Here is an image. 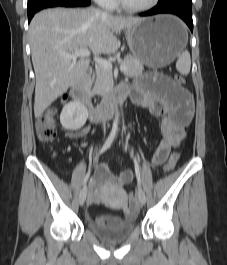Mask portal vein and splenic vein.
Wrapping results in <instances>:
<instances>
[{
  "label": "portal vein and splenic vein",
  "instance_id": "obj_1",
  "mask_svg": "<svg viewBox=\"0 0 227 265\" xmlns=\"http://www.w3.org/2000/svg\"><path fill=\"white\" fill-rule=\"evenodd\" d=\"M90 51L88 49H80L77 50L73 53H69V54H62V57L64 59H73L76 60L78 57H89L90 56ZM94 61L96 62V64L99 67L105 68V69H112V63L108 60L102 59L100 57L95 56L94 57ZM120 70L125 72L127 70V66L126 65H121L120 66Z\"/></svg>",
  "mask_w": 227,
  "mask_h": 265
}]
</instances>
